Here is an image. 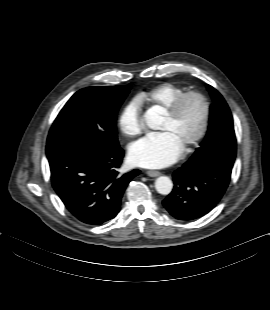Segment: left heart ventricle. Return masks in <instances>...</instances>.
<instances>
[{
  "label": "left heart ventricle",
  "mask_w": 270,
  "mask_h": 310,
  "mask_svg": "<svg viewBox=\"0 0 270 310\" xmlns=\"http://www.w3.org/2000/svg\"><path fill=\"white\" fill-rule=\"evenodd\" d=\"M202 118L203 109L199 100L188 98L174 120L164 116L159 131L168 132L183 149L199 131Z\"/></svg>",
  "instance_id": "obj_1"
}]
</instances>
